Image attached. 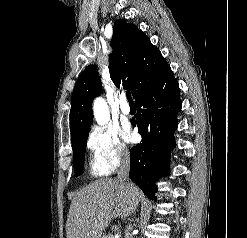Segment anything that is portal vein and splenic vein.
Masks as SVG:
<instances>
[{"mask_svg": "<svg viewBox=\"0 0 247 238\" xmlns=\"http://www.w3.org/2000/svg\"><path fill=\"white\" fill-rule=\"evenodd\" d=\"M108 238H113V235H109Z\"/></svg>", "mask_w": 247, "mask_h": 238, "instance_id": "portal-vein-and-splenic-vein-1", "label": "portal vein and splenic vein"}]
</instances>
